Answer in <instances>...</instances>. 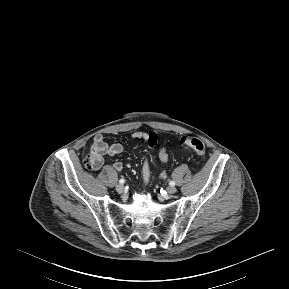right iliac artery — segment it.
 Returning a JSON list of instances; mask_svg holds the SVG:
<instances>
[{"mask_svg": "<svg viewBox=\"0 0 289 289\" xmlns=\"http://www.w3.org/2000/svg\"><path fill=\"white\" fill-rule=\"evenodd\" d=\"M124 182H125V180L123 178L119 180L120 184H123Z\"/></svg>", "mask_w": 289, "mask_h": 289, "instance_id": "right-iliac-artery-1", "label": "right iliac artery"}]
</instances>
